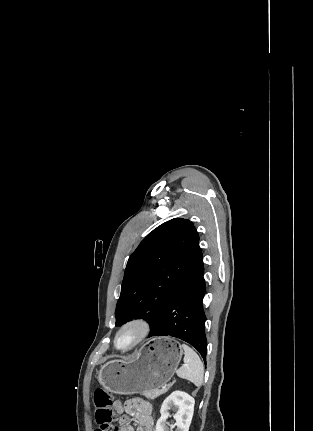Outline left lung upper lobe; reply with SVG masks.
<instances>
[{
    "label": "left lung upper lobe",
    "mask_w": 313,
    "mask_h": 431,
    "mask_svg": "<svg viewBox=\"0 0 313 431\" xmlns=\"http://www.w3.org/2000/svg\"><path fill=\"white\" fill-rule=\"evenodd\" d=\"M201 263L199 235L192 222L175 218L158 226L129 257L115 325L143 318L152 326L164 305Z\"/></svg>",
    "instance_id": "1"
}]
</instances>
